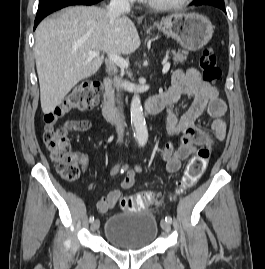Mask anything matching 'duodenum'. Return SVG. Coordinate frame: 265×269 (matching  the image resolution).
Returning a JSON list of instances; mask_svg holds the SVG:
<instances>
[{
    "label": "duodenum",
    "mask_w": 265,
    "mask_h": 269,
    "mask_svg": "<svg viewBox=\"0 0 265 269\" xmlns=\"http://www.w3.org/2000/svg\"><path fill=\"white\" fill-rule=\"evenodd\" d=\"M104 102H103V114L111 122H117L120 112L115 102V90L113 87L112 79L106 77L104 79ZM165 107L164 98L161 95H155L148 99L145 104L146 111L149 114H158Z\"/></svg>",
    "instance_id": "duodenum-1"
}]
</instances>
